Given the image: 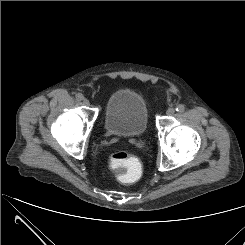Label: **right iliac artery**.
Returning <instances> with one entry per match:
<instances>
[{"label":"right iliac artery","instance_id":"82829eb1","mask_svg":"<svg viewBox=\"0 0 245 245\" xmlns=\"http://www.w3.org/2000/svg\"><path fill=\"white\" fill-rule=\"evenodd\" d=\"M76 99H77L78 101H81V100L84 99V96H83L81 93H78V94H76Z\"/></svg>","mask_w":245,"mask_h":245}]
</instances>
